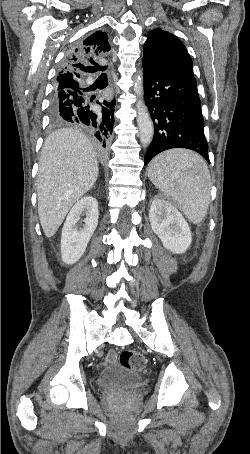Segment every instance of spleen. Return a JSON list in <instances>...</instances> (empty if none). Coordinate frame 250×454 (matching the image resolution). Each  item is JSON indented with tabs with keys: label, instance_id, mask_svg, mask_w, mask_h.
I'll return each instance as SVG.
<instances>
[{
	"label": "spleen",
	"instance_id": "1",
	"mask_svg": "<svg viewBox=\"0 0 250 454\" xmlns=\"http://www.w3.org/2000/svg\"><path fill=\"white\" fill-rule=\"evenodd\" d=\"M150 181L172 198L189 221L200 223L210 202V173L196 153L173 149L156 156L148 166Z\"/></svg>",
	"mask_w": 250,
	"mask_h": 454
}]
</instances>
